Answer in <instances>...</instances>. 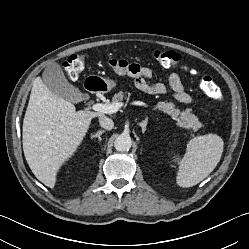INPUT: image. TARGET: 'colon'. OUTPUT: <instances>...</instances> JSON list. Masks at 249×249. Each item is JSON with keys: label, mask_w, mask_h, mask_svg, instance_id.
<instances>
[{"label": "colon", "mask_w": 249, "mask_h": 249, "mask_svg": "<svg viewBox=\"0 0 249 249\" xmlns=\"http://www.w3.org/2000/svg\"><path fill=\"white\" fill-rule=\"evenodd\" d=\"M151 55L162 66L173 67L179 66L181 69L190 71L192 74H197L195 69L189 66L182 60V57L173 50L152 49ZM109 65L115 71H125L127 61L112 59ZM63 69L70 79H77L85 69V59L81 54H73L63 63ZM200 87L203 93L210 99L216 100L219 97V89L214 80L207 75L200 76Z\"/></svg>", "instance_id": "5ec220e1"}]
</instances>
